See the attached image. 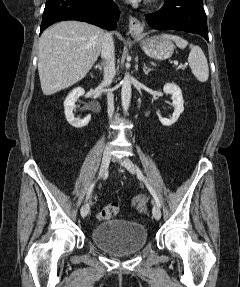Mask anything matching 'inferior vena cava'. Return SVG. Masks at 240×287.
Masks as SVG:
<instances>
[{
	"label": "inferior vena cava",
	"instance_id": "obj_1",
	"mask_svg": "<svg viewBox=\"0 0 240 287\" xmlns=\"http://www.w3.org/2000/svg\"><path fill=\"white\" fill-rule=\"evenodd\" d=\"M101 57L104 59V78L102 85L108 87L115 76V54L112 34L106 32L102 40ZM107 112L109 119H112L114 113V95L111 91L107 92Z\"/></svg>",
	"mask_w": 240,
	"mask_h": 287
}]
</instances>
